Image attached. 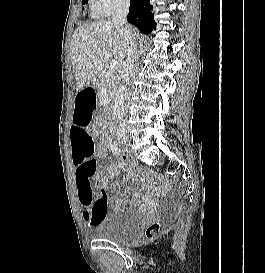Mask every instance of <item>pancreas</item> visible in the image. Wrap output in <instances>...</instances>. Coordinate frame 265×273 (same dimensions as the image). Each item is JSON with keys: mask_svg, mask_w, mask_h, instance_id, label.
<instances>
[{"mask_svg": "<svg viewBox=\"0 0 265 273\" xmlns=\"http://www.w3.org/2000/svg\"><path fill=\"white\" fill-rule=\"evenodd\" d=\"M119 81L120 75L118 73L108 74V72H106L105 66V68L98 75L97 87L101 93L105 90L106 96L112 102L114 97L113 94Z\"/></svg>", "mask_w": 265, "mask_h": 273, "instance_id": "obj_1", "label": "pancreas"}]
</instances>
